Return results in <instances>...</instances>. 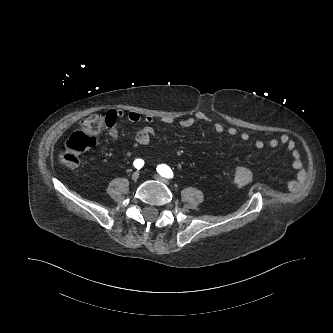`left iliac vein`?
<instances>
[{"mask_svg": "<svg viewBox=\"0 0 333 333\" xmlns=\"http://www.w3.org/2000/svg\"><path fill=\"white\" fill-rule=\"evenodd\" d=\"M154 178L165 185H170V182L160 175H155Z\"/></svg>", "mask_w": 333, "mask_h": 333, "instance_id": "left-iliac-vein-1", "label": "left iliac vein"}]
</instances>
